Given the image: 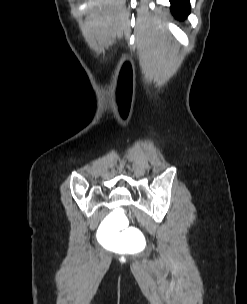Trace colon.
<instances>
[{"mask_svg":"<svg viewBox=\"0 0 247 304\" xmlns=\"http://www.w3.org/2000/svg\"><path fill=\"white\" fill-rule=\"evenodd\" d=\"M130 221H135V214H128L125 208L112 210L100 220L95 240H100L106 253H140V248H145L147 237L141 225H131Z\"/></svg>","mask_w":247,"mask_h":304,"instance_id":"obj_1","label":"colon"}]
</instances>
